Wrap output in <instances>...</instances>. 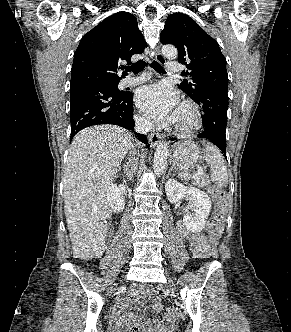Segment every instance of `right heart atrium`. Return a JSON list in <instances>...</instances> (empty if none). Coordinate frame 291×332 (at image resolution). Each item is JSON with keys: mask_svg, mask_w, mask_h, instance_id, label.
<instances>
[{"mask_svg": "<svg viewBox=\"0 0 291 332\" xmlns=\"http://www.w3.org/2000/svg\"><path fill=\"white\" fill-rule=\"evenodd\" d=\"M137 121H138L139 123H141V124H144V123H145L144 120H143L142 118H140V117H137Z\"/></svg>", "mask_w": 291, "mask_h": 332, "instance_id": "1", "label": "right heart atrium"}]
</instances>
